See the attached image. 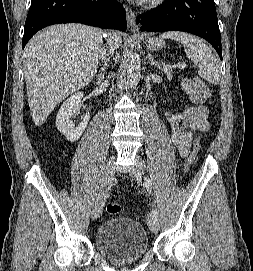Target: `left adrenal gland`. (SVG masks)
<instances>
[{
  "label": "left adrenal gland",
  "instance_id": "obj_1",
  "mask_svg": "<svg viewBox=\"0 0 253 271\" xmlns=\"http://www.w3.org/2000/svg\"><path fill=\"white\" fill-rule=\"evenodd\" d=\"M147 59H148V63L150 66H152V67L154 66L157 69H161V64L158 61H155V59L151 53H148Z\"/></svg>",
  "mask_w": 253,
  "mask_h": 271
}]
</instances>
